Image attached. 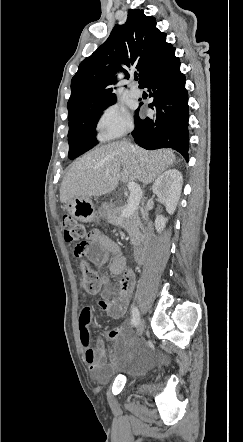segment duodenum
Returning <instances> with one entry per match:
<instances>
[{
    "mask_svg": "<svg viewBox=\"0 0 243 442\" xmlns=\"http://www.w3.org/2000/svg\"><path fill=\"white\" fill-rule=\"evenodd\" d=\"M149 248L147 245H141L135 248L133 252L134 261L138 264L144 263L147 259Z\"/></svg>",
    "mask_w": 243,
    "mask_h": 442,
    "instance_id": "duodenum-1",
    "label": "duodenum"
}]
</instances>
